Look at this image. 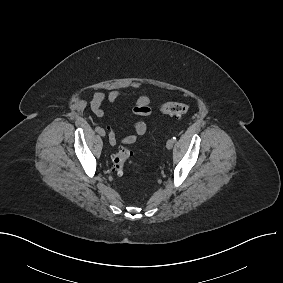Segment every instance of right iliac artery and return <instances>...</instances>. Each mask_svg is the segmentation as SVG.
Wrapping results in <instances>:
<instances>
[{"instance_id": "82829eb1", "label": "right iliac artery", "mask_w": 283, "mask_h": 283, "mask_svg": "<svg viewBox=\"0 0 283 283\" xmlns=\"http://www.w3.org/2000/svg\"><path fill=\"white\" fill-rule=\"evenodd\" d=\"M100 130H101V128H100L99 126H97V127L95 128V131L98 132V133L100 132Z\"/></svg>"}]
</instances>
